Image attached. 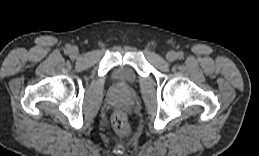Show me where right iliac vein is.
<instances>
[{"mask_svg":"<svg viewBox=\"0 0 259 156\" xmlns=\"http://www.w3.org/2000/svg\"><path fill=\"white\" fill-rule=\"evenodd\" d=\"M78 53H79L78 48L72 47V48L70 49V55H71L72 57H76V56L78 55Z\"/></svg>","mask_w":259,"mask_h":156,"instance_id":"obj_1","label":"right iliac vein"}]
</instances>
